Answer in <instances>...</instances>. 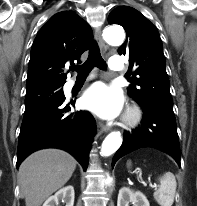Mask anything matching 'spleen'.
Segmentation results:
<instances>
[{
	"mask_svg": "<svg viewBox=\"0 0 197 206\" xmlns=\"http://www.w3.org/2000/svg\"><path fill=\"white\" fill-rule=\"evenodd\" d=\"M131 161L128 162V166ZM160 186L154 192V199L160 206H172L176 193V179L173 173L166 172L159 178Z\"/></svg>",
	"mask_w": 197,
	"mask_h": 206,
	"instance_id": "1",
	"label": "spleen"
}]
</instances>
